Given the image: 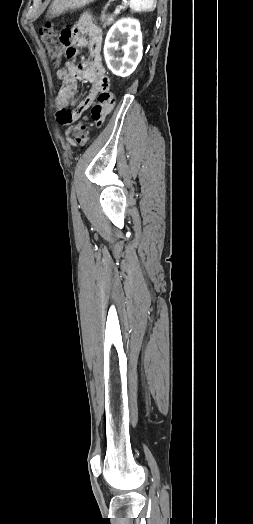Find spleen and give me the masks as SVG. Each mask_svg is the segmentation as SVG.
I'll list each match as a JSON object with an SVG mask.
<instances>
[{
	"label": "spleen",
	"instance_id": "spleen-1",
	"mask_svg": "<svg viewBox=\"0 0 253 524\" xmlns=\"http://www.w3.org/2000/svg\"><path fill=\"white\" fill-rule=\"evenodd\" d=\"M129 6L134 12H149L156 7V0H129Z\"/></svg>",
	"mask_w": 253,
	"mask_h": 524
}]
</instances>
